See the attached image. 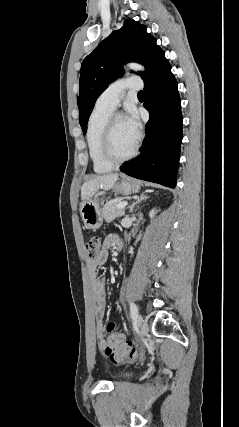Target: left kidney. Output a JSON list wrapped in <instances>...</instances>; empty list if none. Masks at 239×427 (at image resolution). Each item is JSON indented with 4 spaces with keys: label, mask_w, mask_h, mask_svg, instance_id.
Here are the masks:
<instances>
[{
    "label": "left kidney",
    "mask_w": 239,
    "mask_h": 427,
    "mask_svg": "<svg viewBox=\"0 0 239 427\" xmlns=\"http://www.w3.org/2000/svg\"><path fill=\"white\" fill-rule=\"evenodd\" d=\"M156 212H157V211H156L155 209H152V210L150 211L149 216H150V218H151V219L155 216Z\"/></svg>",
    "instance_id": "left-kidney-1"
}]
</instances>
